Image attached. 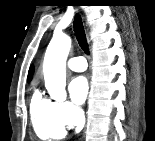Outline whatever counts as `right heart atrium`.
<instances>
[{"label":"right heart atrium","instance_id":"obj_1","mask_svg":"<svg viewBox=\"0 0 155 141\" xmlns=\"http://www.w3.org/2000/svg\"><path fill=\"white\" fill-rule=\"evenodd\" d=\"M58 120L65 126L70 127L81 122L82 111L68 101L55 102Z\"/></svg>","mask_w":155,"mask_h":141}]
</instances>
